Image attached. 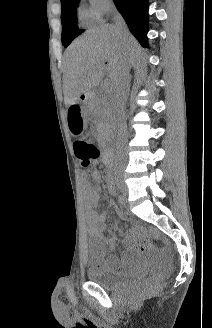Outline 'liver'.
Instances as JSON below:
<instances>
[{
	"label": "liver",
	"mask_w": 212,
	"mask_h": 328,
	"mask_svg": "<svg viewBox=\"0 0 212 328\" xmlns=\"http://www.w3.org/2000/svg\"><path fill=\"white\" fill-rule=\"evenodd\" d=\"M138 55V43L128 30L120 35L116 26L108 24L88 30L64 54L65 103L73 104L82 94L99 86L103 82L104 69L107 78L103 87L111 92L118 74L128 65L135 66Z\"/></svg>",
	"instance_id": "6515ba94"
}]
</instances>
